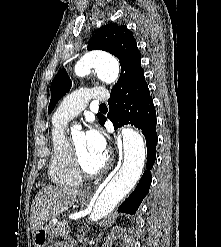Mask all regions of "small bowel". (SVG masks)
Wrapping results in <instances>:
<instances>
[{
	"label": "small bowel",
	"mask_w": 221,
	"mask_h": 247,
	"mask_svg": "<svg viewBox=\"0 0 221 247\" xmlns=\"http://www.w3.org/2000/svg\"><path fill=\"white\" fill-rule=\"evenodd\" d=\"M58 247H66V246H64V245H61V246H58Z\"/></svg>",
	"instance_id": "1"
}]
</instances>
